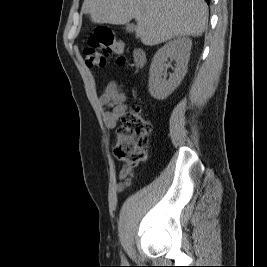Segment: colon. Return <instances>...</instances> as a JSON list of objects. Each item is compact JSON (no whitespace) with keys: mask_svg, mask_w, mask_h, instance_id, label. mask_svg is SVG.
<instances>
[{"mask_svg":"<svg viewBox=\"0 0 267 267\" xmlns=\"http://www.w3.org/2000/svg\"><path fill=\"white\" fill-rule=\"evenodd\" d=\"M85 62L89 67H104L110 54L117 55L119 65L126 63L124 43L117 39L108 28H99L84 47ZM152 130L139 105H132L122 117V125L117 131L114 155L130 169L140 164L146 153L148 136Z\"/></svg>","mask_w":267,"mask_h":267,"instance_id":"colon-1","label":"colon"}]
</instances>
